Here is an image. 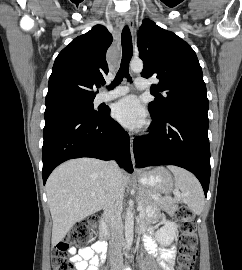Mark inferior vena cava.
I'll return each mask as SVG.
<instances>
[{
  "label": "inferior vena cava",
  "mask_w": 242,
  "mask_h": 270,
  "mask_svg": "<svg viewBox=\"0 0 242 270\" xmlns=\"http://www.w3.org/2000/svg\"><path fill=\"white\" fill-rule=\"evenodd\" d=\"M110 175V188L104 208L106 220L111 229L110 249L112 253L111 264L122 266L123 223L121 213L123 210L124 185L121 179V169L111 161L108 163Z\"/></svg>",
  "instance_id": "602c4592"
}]
</instances>
